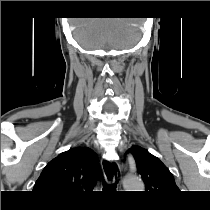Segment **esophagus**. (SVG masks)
Listing matches in <instances>:
<instances>
[{
    "mask_svg": "<svg viewBox=\"0 0 210 210\" xmlns=\"http://www.w3.org/2000/svg\"><path fill=\"white\" fill-rule=\"evenodd\" d=\"M116 164H117V168L120 169L118 163H116ZM101 165L103 168V172H104V176H105L107 184L112 185L115 181L114 176H112V169L115 166L114 161L103 157L101 160ZM117 181H118L117 190H121V181H122L121 172H119V173L117 172Z\"/></svg>",
    "mask_w": 210,
    "mask_h": 210,
    "instance_id": "obj_1",
    "label": "esophagus"
}]
</instances>
